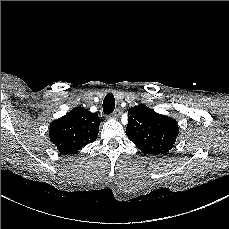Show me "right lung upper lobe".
I'll list each match as a JSON object with an SVG mask.
<instances>
[{"mask_svg": "<svg viewBox=\"0 0 229 229\" xmlns=\"http://www.w3.org/2000/svg\"><path fill=\"white\" fill-rule=\"evenodd\" d=\"M101 121L97 113L76 107L51 122L50 139L61 153L72 154L96 140Z\"/></svg>", "mask_w": 229, "mask_h": 229, "instance_id": "1", "label": "right lung upper lobe"}]
</instances>
